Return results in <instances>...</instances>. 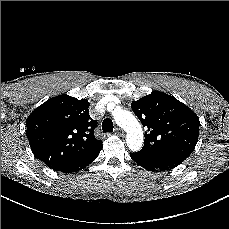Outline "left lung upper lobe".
I'll use <instances>...</instances> for the list:
<instances>
[{
	"label": "left lung upper lobe",
	"instance_id": "5c2ea615",
	"mask_svg": "<svg viewBox=\"0 0 229 229\" xmlns=\"http://www.w3.org/2000/svg\"><path fill=\"white\" fill-rule=\"evenodd\" d=\"M145 132L143 148L137 152L149 158L185 160L199 136L198 116L175 97L159 91L131 103Z\"/></svg>",
	"mask_w": 229,
	"mask_h": 229
}]
</instances>
